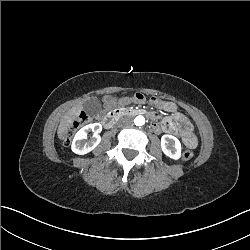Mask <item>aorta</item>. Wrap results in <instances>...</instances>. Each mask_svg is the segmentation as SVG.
Masks as SVG:
<instances>
[{
    "label": "aorta",
    "instance_id": "1",
    "mask_svg": "<svg viewBox=\"0 0 250 250\" xmlns=\"http://www.w3.org/2000/svg\"><path fill=\"white\" fill-rule=\"evenodd\" d=\"M135 124L138 126H142L145 123V118L143 116H137L134 120Z\"/></svg>",
    "mask_w": 250,
    "mask_h": 250
}]
</instances>
